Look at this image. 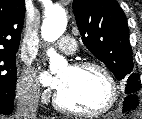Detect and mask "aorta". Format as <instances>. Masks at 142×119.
Returning a JSON list of instances; mask_svg holds the SVG:
<instances>
[{
	"label": "aorta",
	"instance_id": "obj_1",
	"mask_svg": "<svg viewBox=\"0 0 142 119\" xmlns=\"http://www.w3.org/2000/svg\"><path fill=\"white\" fill-rule=\"evenodd\" d=\"M67 25L65 9L60 6L52 7L45 13L41 27V36L45 41L53 42L64 33ZM47 55L50 58V71L56 73L58 69L67 65L66 60L54 49H49Z\"/></svg>",
	"mask_w": 142,
	"mask_h": 119
}]
</instances>
